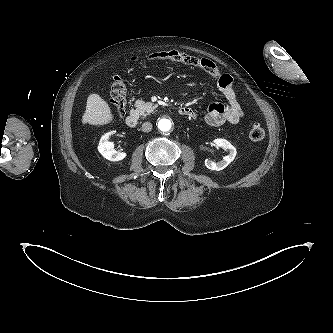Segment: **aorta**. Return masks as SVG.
I'll return each mask as SVG.
<instances>
[{"mask_svg": "<svg viewBox=\"0 0 333 333\" xmlns=\"http://www.w3.org/2000/svg\"><path fill=\"white\" fill-rule=\"evenodd\" d=\"M172 127V123L169 119L166 118H162L159 120L158 122V128L159 130H161L162 132H167L171 129Z\"/></svg>", "mask_w": 333, "mask_h": 333, "instance_id": "obj_1", "label": "aorta"}]
</instances>
